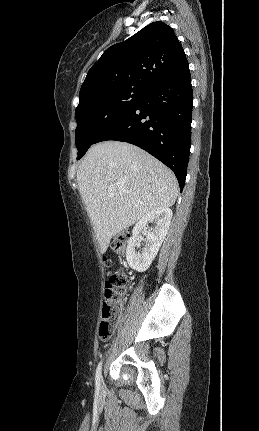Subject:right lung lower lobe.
<instances>
[{"label": "right lung lower lobe", "instance_id": "1", "mask_svg": "<svg viewBox=\"0 0 259 431\" xmlns=\"http://www.w3.org/2000/svg\"><path fill=\"white\" fill-rule=\"evenodd\" d=\"M192 103L188 66L149 87L96 143L117 140L146 150L173 170L182 190L191 147Z\"/></svg>", "mask_w": 259, "mask_h": 431}]
</instances>
